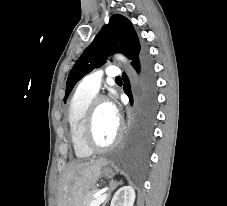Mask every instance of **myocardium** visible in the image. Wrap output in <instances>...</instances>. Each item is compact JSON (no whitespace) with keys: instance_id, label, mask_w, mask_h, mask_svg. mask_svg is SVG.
<instances>
[{"instance_id":"f54148a6","label":"myocardium","mask_w":227,"mask_h":206,"mask_svg":"<svg viewBox=\"0 0 227 206\" xmlns=\"http://www.w3.org/2000/svg\"><path fill=\"white\" fill-rule=\"evenodd\" d=\"M106 98L103 96H96L90 102L83 123V140L85 145L94 152H104L114 146H116L121 138L122 128L121 124L118 122L117 131L114 136V139L108 145H100L95 139L94 127H95V116L98 106L105 102Z\"/></svg>"}]
</instances>
